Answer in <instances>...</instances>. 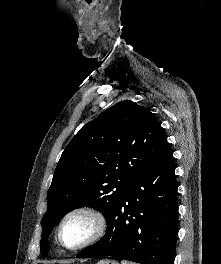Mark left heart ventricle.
<instances>
[{
  "mask_svg": "<svg viewBox=\"0 0 221 264\" xmlns=\"http://www.w3.org/2000/svg\"><path fill=\"white\" fill-rule=\"evenodd\" d=\"M93 231V221L84 215H77L65 223L62 230V239L67 246H76L86 241Z\"/></svg>",
  "mask_w": 221,
  "mask_h": 264,
  "instance_id": "obj_1",
  "label": "left heart ventricle"
}]
</instances>
